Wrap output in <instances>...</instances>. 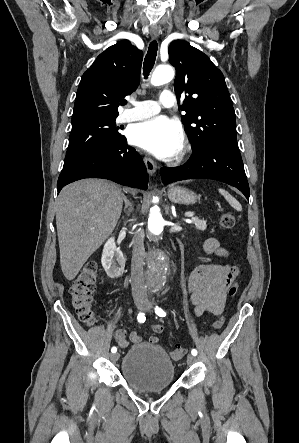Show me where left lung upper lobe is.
I'll return each mask as SVG.
<instances>
[{"mask_svg": "<svg viewBox=\"0 0 299 443\" xmlns=\"http://www.w3.org/2000/svg\"><path fill=\"white\" fill-rule=\"evenodd\" d=\"M169 57L176 68L177 97L187 94L182 122L192 149L213 143L238 148L235 112L222 72L207 55L182 40L170 44Z\"/></svg>", "mask_w": 299, "mask_h": 443, "instance_id": "5c2ea615", "label": "left lung upper lobe"}]
</instances>
